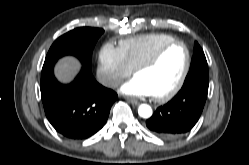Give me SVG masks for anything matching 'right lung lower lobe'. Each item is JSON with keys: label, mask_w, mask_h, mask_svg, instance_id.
I'll use <instances>...</instances> for the list:
<instances>
[{"label": "right lung lower lobe", "mask_w": 249, "mask_h": 165, "mask_svg": "<svg viewBox=\"0 0 249 165\" xmlns=\"http://www.w3.org/2000/svg\"><path fill=\"white\" fill-rule=\"evenodd\" d=\"M56 61H45L41 73L40 89L46 117L55 130L67 138H89L104 126L118 96L100 85L84 66L72 83H59L53 74Z\"/></svg>", "instance_id": "obj_1"}]
</instances>
